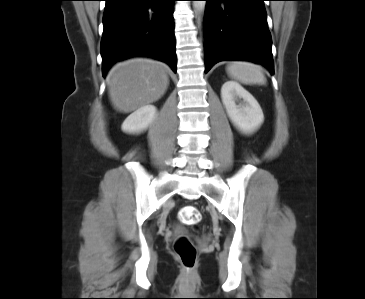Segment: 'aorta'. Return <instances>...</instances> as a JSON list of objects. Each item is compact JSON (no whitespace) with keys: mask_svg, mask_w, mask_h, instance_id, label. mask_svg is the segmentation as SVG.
Instances as JSON below:
<instances>
[{"mask_svg":"<svg viewBox=\"0 0 365 299\" xmlns=\"http://www.w3.org/2000/svg\"><path fill=\"white\" fill-rule=\"evenodd\" d=\"M206 1H193V7L196 13H202L205 9Z\"/></svg>","mask_w":365,"mask_h":299,"instance_id":"obj_1","label":"aorta"}]
</instances>
